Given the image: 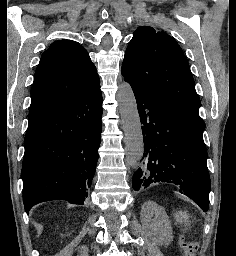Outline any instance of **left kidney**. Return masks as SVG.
<instances>
[{
    "instance_id": "left-kidney-1",
    "label": "left kidney",
    "mask_w": 236,
    "mask_h": 256,
    "mask_svg": "<svg viewBox=\"0 0 236 256\" xmlns=\"http://www.w3.org/2000/svg\"><path fill=\"white\" fill-rule=\"evenodd\" d=\"M141 224L147 236L155 240L157 246H168L172 242L170 220L162 206L156 202H145L141 208Z\"/></svg>"
}]
</instances>
